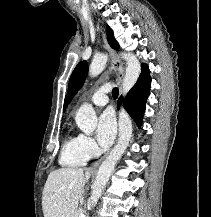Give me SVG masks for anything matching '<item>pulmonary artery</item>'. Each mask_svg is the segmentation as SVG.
I'll list each match as a JSON object with an SVG mask.
<instances>
[{
    "label": "pulmonary artery",
    "mask_w": 211,
    "mask_h": 217,
    "mask_svg": "<svg viewBox=\"0 0 211 217\" xmlns=\"http://www.w3.org/2000/svg\"><path fill=\"white\" fill-rule=\"evenodd\" d=\"M111 91V84L104 83L92 94L90 101L95 106H105L108 103V93Z\"/></svg>",
    "instance_id": "1"
}]
</instances>
